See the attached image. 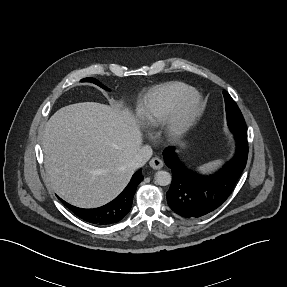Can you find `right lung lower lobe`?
I'll return each instance as SVG.
<instances>
[{"label":"right lung lower lobe","instance_id":"obj_1","mask_svg":"<svg viewBox=\"0 0 287 287\" xmlns=\"http://www.w3.org/2000/svg\"><path fill=\"white\" fill-rule=\"evenodd\" d=\"M143 180L141 169L131 178L123 192L110 203L94 209H82L61 200L79 218L96 225H110L122 220L132 207L138 184Z\"/></svg>","mask_w":287,"mask_h":287}]
</instances>
